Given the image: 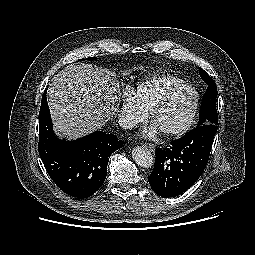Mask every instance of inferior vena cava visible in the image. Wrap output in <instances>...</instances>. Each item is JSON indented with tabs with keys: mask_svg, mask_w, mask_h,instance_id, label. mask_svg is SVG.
<instances>
[{
	"mask_svg": "<svg viewBox=\"0 0 255 255\" xmlns=\"http://www.w3.org/2000/svg\"><path fill=\"white\" fill-rule=\"evenodd\" d=\"M136 122L129 115L121 113L119 115V125L124 129H131L135 126Z\"/></svg>",
	"mask_w": 255,
	"mask_h": 255,
	"instance_id": "obj_1",
	"label": "inferior vena cava"
}]
</instances>
